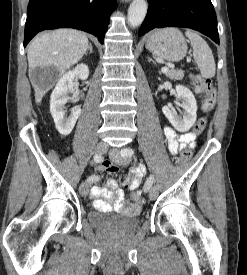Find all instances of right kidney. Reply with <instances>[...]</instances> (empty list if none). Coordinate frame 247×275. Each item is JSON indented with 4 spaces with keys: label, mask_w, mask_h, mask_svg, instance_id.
Listing matches in <instances>:
<instances>
[{
    "label": "right kidney",
    "mask_w": 247,
    "mask_h": 275,
    "mask_svg": "<svg viewBox=\"0 0 247 275\" xmlns=\"http://www.w3.org/2000/svg\"><path fill=\"white\" fill-rule=\"evenodd\" d=\"M88 76V66L79 64L61 77L51 94L50 112L54 119L56 129L61 135L67 136L71 133L81 114L80 106H76L71 110L69 117L65 116V104L71 100L68 95L74 92L73 81L75 78L86 80Z\"/></svg>",
    "instance_id": "obj_1"
}]
</instances>
